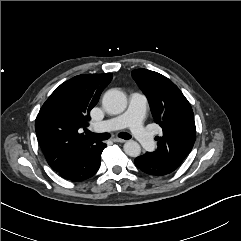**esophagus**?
<instances>
[{
  "label": "esophagus",
  "instance_id": "1",
  "mask_svg": "<svg viewBox=\"0 0 241 241\" xmlns=\"http://www.w3.org/2000/svg\"><path fill=\"white\" fill-rule=\"evenodd\" d=\"M126 140L124 139H120V138H114L113 142H117V143H124Z\"/></svg>",
  "mask_w": 241,
  "mask_h": 241
}]
</instances>
